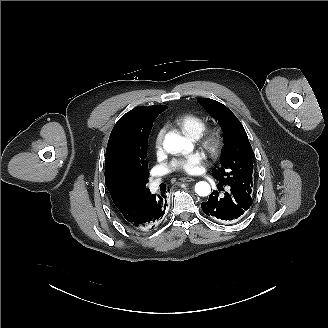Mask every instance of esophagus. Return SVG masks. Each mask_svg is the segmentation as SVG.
Returning a JSON list of instances; mask_svg holds the SVG:
<instances>
[{
  "mask_svg": "<svg viewBox=\"0 0 328 328\" xmlns=\"http://www.w3.org/2000/svg\"><path fill=\"white\" fill-rule=\"evenodd\" d=\"M179 180L182 181V182H192V181H194V179L190 178V177H182Z\"/></svg>",
  "mask_w": 328,
  "mask_h": 328,
  "instance_id": "1",
  "label": "esophagus"
}]
</instances>
